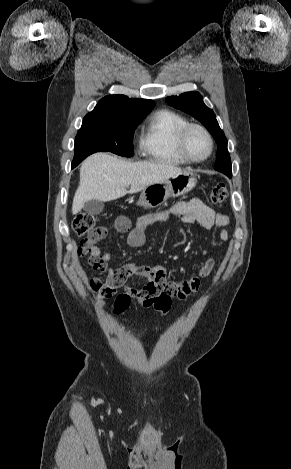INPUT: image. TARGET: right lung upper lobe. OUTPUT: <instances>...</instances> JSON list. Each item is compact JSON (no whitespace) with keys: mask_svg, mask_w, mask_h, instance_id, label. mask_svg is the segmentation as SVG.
Segmentation results:
<instances>
[{"mask_svg":"<svg viewBox=\"0 0 291 469\" xmlns=\"http://www.w3.org/2000/svg\"><path fill=\"white\" fill-rule=\"evenodd\" d=\"M154 107V102L147 99L129 98L125 95H110L102 98L93 111L85 117L127 119L144 118Z\"/></svg>","mask_w":291,"mask_h":469,"instance_id":"cb5924a9","label":"right lung upper lobe"}]
</instances>
